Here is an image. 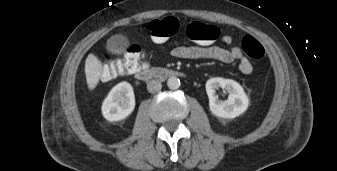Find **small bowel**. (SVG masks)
Here are the masks:
<instances>
[{"label": "small bowel", "mask_w": 337, "mask_h": 171, "mask_svg": "<svg viewBox=\"0 0 337 171\" xmlns=\"http://www.w3.org/2000/svg\"><path fill=\"white\" fill-rule=\"evenodd\" d=\"M221 41L225 47L217 45H178L172 49L171 54L179 59H209L223 63L238 61L240 72L250 74L253 71V66L243 55L241 49L238 46L232 45V37L230 35H223Z\"/></svg>", "instance_id": "c3829d8e"}]
</instances>
